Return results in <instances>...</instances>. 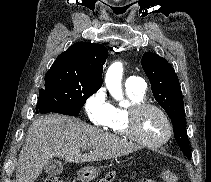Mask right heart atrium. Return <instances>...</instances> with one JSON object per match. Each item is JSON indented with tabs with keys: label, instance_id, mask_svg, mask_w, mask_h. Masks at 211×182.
Returning a JSON list of instances; mask_svg holds the SVG:
<instances>
[{
	"label": "right heart atrium",
	"instance_id": "right-heart-atrium-1",
	"mask_svg": "<svg viewBox=\"0 0 211 182\" xmlns=\"http://www.w3.org/2000/svg\"><path fill=\"white\" fill-rule=\"evenodd\" d=\"M88 120L96 126H104L110 117L112 104L103 88L92 93L84 103Z\"/></svg>",
	"mask_w": 211,
	"mask_h": 182
}]
</instances>
